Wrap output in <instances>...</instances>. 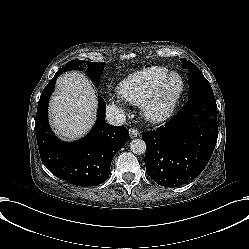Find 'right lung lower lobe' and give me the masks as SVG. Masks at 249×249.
I'll return each mask as SVG.
<instances>
[{"label":"right lung lower lobe","mask_w":249,"mask_h":249,"mask_svg":"<svg viewBox=\"0 0 249 249\" xmlns=\"http://www.w3.org/2000/svg\"><path fill=\"white\" fill-rule=\"evenodd\" d=\"M60 74L57 72L44 88L38 103L35 134L41 160L50 172L71 184H102L109 177L114 155L129 140V132L123 126L106 123V103L99 96L98 118L89 134L71 143L58 140L50 129L47 107Z\"/></svg>","instance_id":"obj_1"}]
</instances>
